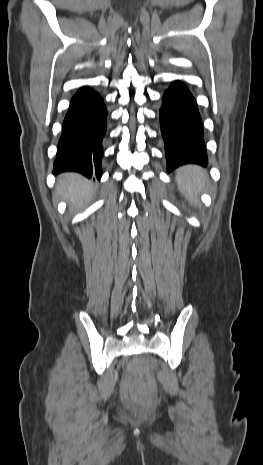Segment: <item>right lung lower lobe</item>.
<instances>
[{
    "instance_id": "obj_1",
    "label": "right lung lower lobe",
    "mask_w": 263,
    "mask_h": 465,
    "mask_svg": "<svg viewBox=\"0 0 263 465\" xmlns=\"http://www.w3.org/2000/svg\"><path fill=\"white\" fill-rule=\"evenodd\" d=\"M107 110L100 95L89 87L72 98L58 143L54 171H75L88 178L102 176V140L106 133Z\"/></svg>"
}]
</instances>
